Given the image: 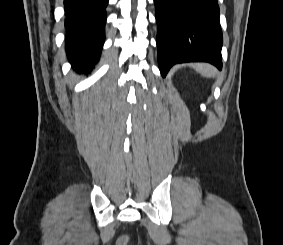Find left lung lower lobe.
<instances>
[{
    "label": "left lung lower lobe",
    "mask_w": 283,
    "mask_h": 245,
    "mask_svg": "<svg viewBox=\"0 0 283 245\" xmlns=\"http://www.w3.org/2000/svg\"><path fill=\"white\" fill-rule=\"evenodd\" d=\"M158 63L166 76L177 63L204 61L222 69L217 0H154Z\"/></svg>",
    "instance_id": "0a47b994"
}]
</instances>
